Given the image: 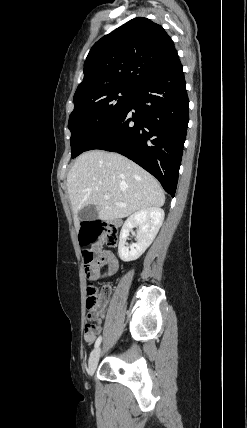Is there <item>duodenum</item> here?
I'll return each instance as SVG.
<instances>
[{"instance_id":"1","label":"duodenum","mask_w":247,"mask_h":428,"mask_svg":"<svg viewBox=\"0 0 247 428\" xmlns=\"http://www.w3.org/2000/svg\"><path fill=\"white\" fill-rule=\"evenodd\" d=\"M114 224L118 225V224H119V221H114Z\"/></svg>"}]
</instances>
